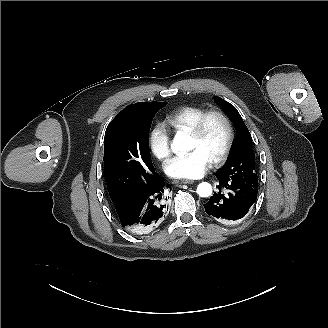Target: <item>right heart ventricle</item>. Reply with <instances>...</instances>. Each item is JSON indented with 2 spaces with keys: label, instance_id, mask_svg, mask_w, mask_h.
I'll list each match as a JSON object with an SVG mask.
<instances>
[{
  "label": "right heart ventricle",
  "instance_id": "obj_1",
  "mask_svg": "<svg viewBox=\"0 0 328 328\" xmlns=\"http://www.w3.org/2000/svg\"><path fill=\"white\" fill-rule=\"evenodd\" d=\"M207 111L203 106H186L166 115L165 122L175 131H188Z\"/></svg>",
  "mask_w": 328,
  "mask_h": 328
}]
</instances>
